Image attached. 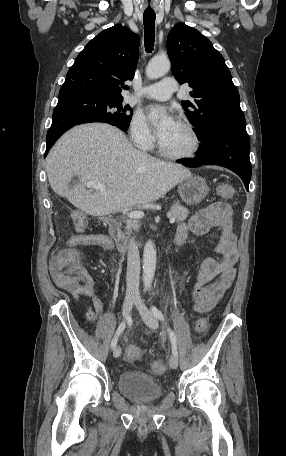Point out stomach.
I'll return each instance as SVG.
<instances>
[{
	"mask_svg": "<svg viewBox=\"0 0 286 456\" xmlns=\"http://www.w3.org/2000/svg\"><path fill=\"white\" fill-rule=\"evenodd\" d=\"M209 188L204 179L191 176L180 182L178 192L183 202L187 205L199 204L207 195Z\"/></svg>",
	"mask_w": 286,
	"mask_h": 456,
	"instance_id": "1",
	"label": "stomach"
}]
</instances>
